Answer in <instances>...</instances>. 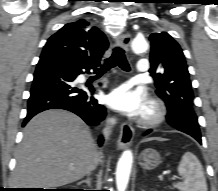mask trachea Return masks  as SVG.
Listing matches in <instances>:
<instances>
[{"label": "trachea", "instance_id": "obj_1", "mask_svg": "<svg viewBox=\"0 0 218 191\" xmlns=\"http://www.w3.org/2000/svg\"><path fill=\"white\" fill-rule=\"evenodd\" d=\"M115 66H119L124 71H130V66L126 60L125 52L121 47L114 48L113 55L109 59L105 60L99 72H106Z\"/></svg>", "mask_w": 218, "mask_h": 191}]
</instances>
